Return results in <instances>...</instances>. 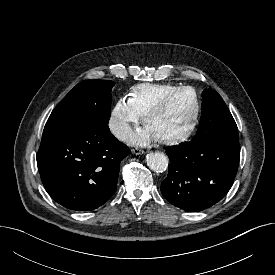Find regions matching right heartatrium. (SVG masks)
Instances as JSON below:
<instances>
[{"mask_svg": "<svg viewBox=\"0 0 275 275\" xmlns=\"http://www.w3.org/2000/svg\"><path fill=\"white\" fill-rule=\"evenodd\" d=\"M141 119L138 112L132 107L129 100L120 98L114 105L109 127L111 132L120 140H124L131 132L132 126Z\"/></svg>", "mask_w": 275, "mask_h": 275, "instance_id": "right-heart-atrium-1", "label": "right heart atrium"}]
</instances>
